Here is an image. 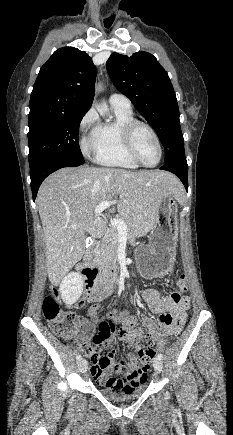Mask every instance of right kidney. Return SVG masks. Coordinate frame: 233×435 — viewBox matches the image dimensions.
Returning <instances> with one entry per match:
<instances>
[{
    "label": "right kidney",
    "mask_w": 233,
    "mask_h": 435,
    "mask_svg": "<svg viewBox=\"0 0 233 435\" xmlns=\"http://www.w3.org/2000/svg\"><path fill=\"white\" fill-rule=\"evenodd\" d=\"M59 291L65 304H74L83 292L82 276L76 272L69 273L62 279Z\"/></svg>",
    "instance_id": "obj_1"
}]
</instances>
